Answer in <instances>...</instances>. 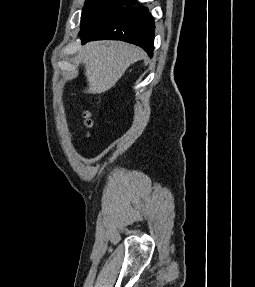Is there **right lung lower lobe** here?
<instances>
[{"label":"right lung lower lobe","instance_id":"1","mask_svg":"<svg viewBox=\"0 0 255 287\" xmlns=\"http://www.w3.org/2000/svg\"><path fill=\"white\" fill-rule=\"evenodd\" d=\"M154 28L147 8L123 7L79 35L83 44L91 40H122L142 47L152 56Z\"/></svg>","mask_w":255,"mask_h":287}]
</instances>
